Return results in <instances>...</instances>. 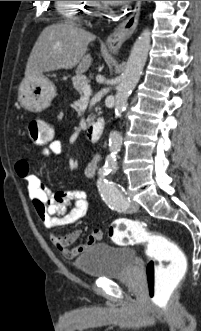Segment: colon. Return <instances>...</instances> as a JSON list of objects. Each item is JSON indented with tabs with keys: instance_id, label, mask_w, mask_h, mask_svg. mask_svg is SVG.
I'll return each mask as SVG.
<instances>
[{
	"instance_id": "colon-1",
	"label": "colon",
	"mask_w": 201,
	"mask_h": 331,
	"mask_svg": "<svg viewBox=\"0 0 201 331\" xmlns=\"http://www.w3.org/2000/svg\"><path fill=\"white\" fill-rule=\"evenodd\" d=\"M28 132L31 143L38 146L50 143L53 138L51 125L42 119H32L28 124ZM109 235L118 245H146L149 256L145 267L147 296L156 306L168 307L187 268L186 258L180 248L162 234L126 218L114 221Z\"/></svg>"
}]
</instances>
